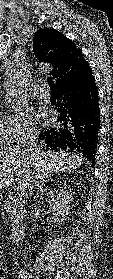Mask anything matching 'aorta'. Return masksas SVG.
Returning <instances> with one entry per match:
<instances>
[{"instance_id": "1", "label": "aorta", "mask_w": 113, "mask_h": 279, "mask_svg": "<svg viewBox=\"0 0 113 279\" xmlns=\"http://www.w3.org/2000/svg\"><path fill=\"white\" fill-rule=\"evenodd\" d=\"M20 98V94L16 91H12L10 97H9V102H10V106L11 109H15V103L19 100Z\"/></svg>"}]
</instances>
